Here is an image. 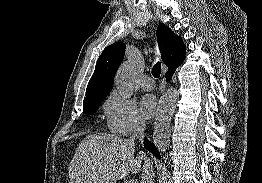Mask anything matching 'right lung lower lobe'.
Returning a JSON list of instances; mask_svg holds the SVG:
<instances>
[{
    "label": "right lung lower lobe",
    "mask_w": 262,
    "mask_h": 183,
    "mask_svg": "<svg viewBox=\"0 0 262 183\" xmlns=\"http://www.w3.org/2000/svg\"><path fill=\"white\" fill-rule=\"evenodd\" d=\"M175 71V70H174ZM174 71H170V72H167L165 77L167 80H170ZM144 145L145 147L151 152L153 153L156 157L160 158V154L158 152V150L156 149L155 145L153 143H151L150 141H148L147 139H145L144 141Z\"/></svg>",
    "instance_id": "1"
}]
</instances>
